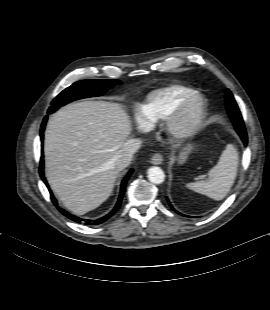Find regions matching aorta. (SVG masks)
<instances>
[{
    "instance_id": "obj_1",
    "label": "aorta",
    "mask_w": 270,
    "mask_h": 310,
    "mask_svg": "<svg viewBox=\"0 0 270 310\" xmlns=\"http://www.w3.org/2000/svg\"><path fill=\"white\" fill-rule=\"evenodd\" d=\"M147 177L154 184H161L165 180V174L160 167H150L147 171Z\"/></svg>"
}]
</instances>
